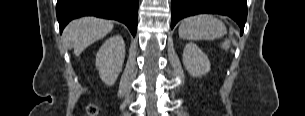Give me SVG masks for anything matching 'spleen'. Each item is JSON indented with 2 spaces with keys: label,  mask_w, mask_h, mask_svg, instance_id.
I'll return each mask as SVG.
<instances>
[{
  "label": "spleen",
  "mask_w": 305,
  "mask_h": 116,
  "mask_svg": "<svg viewBox=\"0 0 305 116\" xmlns=\"http://www.w3.org/2000/svg\"><path fill=\"white\" fill-rule=\"evenodd\" d=\"M178 33L185 40H214L226 34V27L212 15L202 14L183 19Z\"/></svg>",
  "instance_id": "spleen-1"
}]
</instances>
